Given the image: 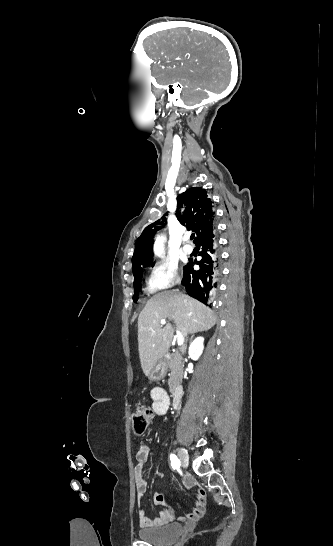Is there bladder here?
Here are the masks:
<instances>
[{"label":"bladder","instance_id":"bladder-1","mask_svg":"<svg viewBox=\"0 0 333 546\" xmlns=\"http://www.w3.org/2000/svg\"><path fill=\"white\" fill-rule=\"evenodd\" d=\"M182 532V525L173 522L157 528H142L138 531V536L142 541L155 546H165L175 541Z\"/></svg>","mask_w":333,"mask_h":546}]
</instances>
